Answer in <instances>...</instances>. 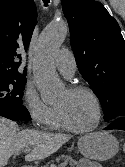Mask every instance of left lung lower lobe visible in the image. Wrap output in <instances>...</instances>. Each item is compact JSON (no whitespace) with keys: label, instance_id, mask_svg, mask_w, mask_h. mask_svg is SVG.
<instances>
[{"label":"left lung lower lobe","instance_id":"1","mask_svg":"<svg viewBox=\"0 0 125 167\" xmlns=\"http://www.w3.org/2000/svg\"><path fill=\"white\" fill-rule=\"evenodd\" d=\"M110 129L125 130V116L118 117L113 121H111L109 125L105 128V130H110Z\"/></svg>","mask_w":125,"mask_h":167}]
</instances>
